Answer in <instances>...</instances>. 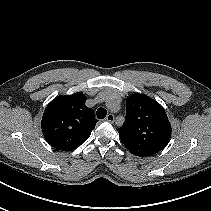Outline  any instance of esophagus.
Wrapping results in <instances>:
<instances>
[{"label": "esophagus", "instance_id": "34e87169", "mask_svg": "<svg viewBox=\"0 0 211 211\" xmlns=\"http://www.w3.org/2000/svg\"><path fill=\"white\" fill-rule=\"evenodd\" d=\"M114 115L113 114H108L107 117L105 118V120L107 122L113 123L114 122Z\"/></svg>", "mask_w": 211, "mask_h": 211}]
</instances>
